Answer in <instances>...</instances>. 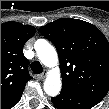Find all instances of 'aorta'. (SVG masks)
Wrapping results in <instances>:
<instances>
[{"label": "aorta", "instance_id": "aorta-1", "mask_svg": "<svg viewBox=\"0 0 109 109\" xmlns=\"http://www.w3.org/2000/svg\"><path fill=\"white\" fill-rule=\"evenodd\" d=\"M36 52L39 60L49 68H53L49 71L45 82L44 91L47 95L55 97L61 91V76L58 65V55L55 48L49 44L46 40H39L36 43Z\"/></svg>", "mask_w": 109, "mask_h": 109}]
</instances>
